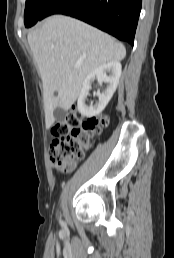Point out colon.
Listing matches in <instances>:
<instances>
[{
	"instance_id": "5ec220e1",
	"label": "colon",
	"mask_w": 174,
	"mask_h": 258,
	"mask_svg": "<svg viewBox=\"0 0 174 258\" xmlns=\"http://www.w3.org/2000/svg\"><path fill=\"white\" fill-rule=\"evenodd\" d=\"M108 123L107 116H93L83 121L77 109L70 110L52 129L50 161L60 172H70L89 148L91 140Z\"/></svg>"
}]
</instances>
